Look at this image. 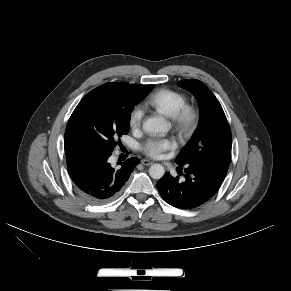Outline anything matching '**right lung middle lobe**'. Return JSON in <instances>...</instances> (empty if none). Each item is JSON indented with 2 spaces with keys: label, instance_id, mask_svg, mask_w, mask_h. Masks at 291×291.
<instances>
[{
  "label": "right lung middle lobe",
  "instance_id": "dd1d6c3e",
  "mask_svg": "<svg viewBox=\"0 0 291 291\" xmlns=\"http://www.w3.org/2000/svg\"><path fill=\"white\" fill-rule=\"evenodd\" d=\"M153 87L146 85L140 95L118 101L97 91L88 93L68 121L64 136L65 151L84 147L113 151L116 138L128 133L133 106Z\"/></svg>",
  "mask_w": 291,
  "mask_h": 291
}]
</instances>
